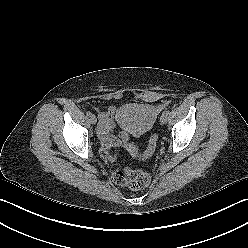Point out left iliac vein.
Here are the masks:
<instances>
[{"instance_id": "1", "label": "left iliac vein", "mask_w": 248, "mask_h": 248, "mask_svg": "<svg viewBox=\"0 0 248 248\" xmlns=\"http://www.w3.org/2000/svg\"><path fill=\"white\" fill-rule=\"evenodd\" d=\"M167 120H168V114L164 112L160 117V122L162 124H166Z\"/></svg>"}]
</instances>
